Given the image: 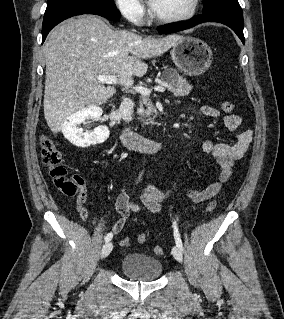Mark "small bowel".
I'll use <instances>...</instances> for the list:
<instances>
[{"label":"small bowel","mask_w":284,"mask_h":319,"mask_svg":"<svg viewBox=\"0 0 284 319\" xmlns=\"http://www.w3.org/2000/svg\"><path fill=\"white\" fill-rule=\"evenodd\" d=\"M201 112L210 118H218L220 116L219 110L216 108L204 105L201 107ZM225 127L230 131H236L242 123L240 116L230 114L223 117ZM252 140V131L249 129L242 130L238 133L236 140L233 143H214L212 141H205L202 144L204 153L212 155L215 159L219 173L218 180L209 184L204 189L191 188L189 190V197L194 202H204L216 196L222 185L229 179L233 172L235 161L239 160L247 151ZM172 193L170 188L157 189L153 186H146L141 194V200L144 206L152 213H160L162 211L161 202L169 197ZM86 190L82 185L77 196V211L82 220H87L88 210L85 207ZM116 211L120 215L119 219L112 227L114 234L119 233L125 226L128 217L131 213L140 212V206L130 201L129 196L125 190H121L116 198ZM111 232V233H112Z\"/></svg>","instance_id":"small-bowel-1"}]
</instances>
